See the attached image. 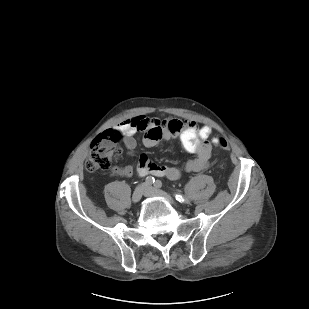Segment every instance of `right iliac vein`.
<instances>
[{"mask_svg": "<svg viewBox=\"0 0 309 309\" xmlns=\"http://www.w3.org/2000/svg\"><path fill=\"white\" fill-rule=\"evenodd\" d=\"M147 192H148L147 184L139 185L133 192L132 195L133 203H138L143 197V195H146Z\"/></svg>", "mask_w": 309, "mask_h": 309, "instance_id": "right-iliac-vein-1", "label": "right iliac vein"}]
</instances>
